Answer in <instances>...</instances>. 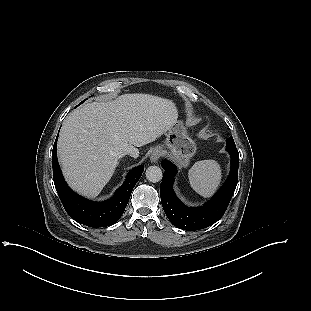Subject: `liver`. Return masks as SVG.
Returning <instances> with one entry per match:
<instances>
[{
	"instance_id": "obj_1",
	"label": "liver",
	"mask_w": 311,
	"mask_h": 311,
	"mask_svg": "<svg viewBox=\"0 0 311 311\" xmlns=\"http://www.w3.org/2000/svg\"><path fill=\"white\" fill-rule=\"evenodd\" d=\"M178 111L169 100L149 94H124L114 101L92 102L74 110L60 131L57 151L66 181L88 198L109 182L124 154L166 134Z\"/></svg>"
}]
</instances>
